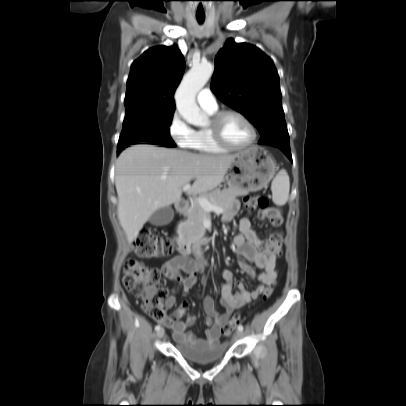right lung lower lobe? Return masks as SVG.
<instances>
[{
    "label": "right lung lower lobe",
    "instance_id": "obj_1",
    "mask_svg": "<svg viewBox=\"0 0 406 406\" xmlns=\"http://www.w3.org/2000/svg\"><path fill=\"white\" fill-rule=\"evenodd\" d=\"M122 151V150H121ZM121 151H117V154H119Z\"/></svg>",
    "mask_w": 406,
    "mask_h": 406
}]
</instances>
